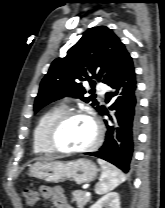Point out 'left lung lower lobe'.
Instances as JSON below:
<instances>
[{
  "instance_id": "obj_1",
  "label": "left lung lower lobe",
  "mask_w": 165,
  "mask_h": 208,
  "mask_svg": "<svg viewBox=\"0 0 165 208\" xmlns=\"http://www.w3.org/2000/svg\"><path fill=\"white\" fill-rule=\"evenodd\" d=\"M110 91L106 93V102L112 112L104 107L99 112L108 115L111 123L107 125L106 138L103 146L94 153H86L104 159L124 173L132 167L134 146L139 128V102L137 85L132 58L128 55L121 66L109 80Z\"/></svg>"
}]
</instances>
